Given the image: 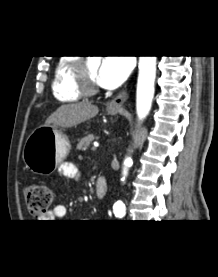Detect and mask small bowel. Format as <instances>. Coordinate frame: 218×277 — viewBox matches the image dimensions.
Listing matches in <instances>:
<instances>
[{
    "instance_id": "obj_1",
    "label": "small bowel",
    "mask_w": 218,
    "mask_h": 277,
    "mask_svg": "<svg viewBox=\"0 0 218 277\" xmlns=\"http://www.w3.org/2000/svg\"><path fill=\"white\" fill-rule=\"evenodd\" d=\"M59 173L61 176L66 178H78L79 172L78 168L71 163H64L59 168ZM66 215V208L62 204H58L54 206L52 211L46 215L43 220H46V222H51V220H56L63 218Z\"/></svg>"
}]
</instances>
